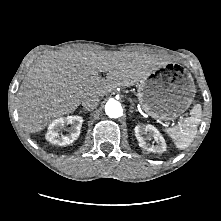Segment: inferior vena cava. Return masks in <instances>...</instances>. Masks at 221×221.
Listing matches in <instances>:
<instances>
[{"label": "inferior vena cava", "instance_id": "1", "mask_svg": "<svg viewBox=\"0 0 221 221\" xmlns=\"http://www.w3.org/2000/svg\"><path fill=\"white\" fill-rule=\"evenodd\" d=\"M98 103H99L98 95H91L82 100V106L87 110L94 109L98 105Z\"/></svg>", "mask_w": 221, "mask_h": 221}]
</instances>
